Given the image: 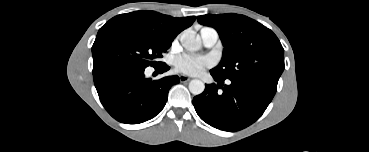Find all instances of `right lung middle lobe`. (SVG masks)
Wrapping results in <instances>:
<instances>
[{"label": "right lung middle lobe", "mask_w": 369, "mask_h": 152, "mask_svg": "<svg viewBox=\"0 0 369 152\" xmlns=\"http://www.w3.org/2000/svg\"><path fill=\"white\" fill-rule=\"evenodd\" d=\"M171 43L114 17L99 29L92 46L93 74L117 65L157 67L161 62L155 59L162 57Z\"/></svg>", "instance_id": "1"}]
</instances>
